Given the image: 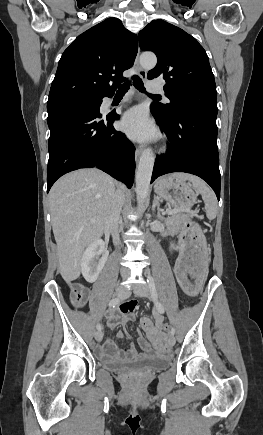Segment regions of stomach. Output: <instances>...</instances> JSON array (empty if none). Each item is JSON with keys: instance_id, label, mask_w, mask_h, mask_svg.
<instances>
[{"instance_id": "stomach-1", "label": "stomach", "mask_w": 263, "mask_h": 435, "mask_svg": "<svg viewBox=\"0 0 263 435\" xmlns=\"http://www.w3.org/2000/svg\"><path fill=\"white\" fill-rule=\"evenodd\" d=\"M155 192L161 198L179 205L181 209H188L196 201V194L189 183L177 180L170 176L160 178L155 186ZM190 224H178L181 246L183 248V260H179L174 272L178 280L179 288L183 294L193 296L200 294L201 288H206V262H208V239L202 233V224H194L196 219L190 217Z\"/></svg>"}]
</instances>
